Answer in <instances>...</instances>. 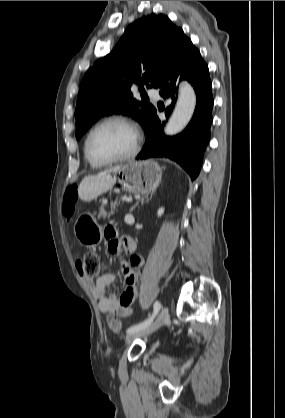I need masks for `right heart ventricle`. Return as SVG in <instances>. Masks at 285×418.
I'll list each match as a JSON object with an SVG mask.
<instances>
[{"instance_id": "right-heart-ventricle-1", "label": "right heart ventricle", "mask_w": 285, "mask_h": 418, "mask_svg": "<svg viewBox=\"0 0 285 418\" xmlns=\"http://www.w3.org/2000/svg\"><path fill=\"white\" fill-rule=\"evenodd\" d=\"M91 165H92L93 167H99V166H97V165H94V164H92V163H91Z\"/></svg>"}]
</instances>
